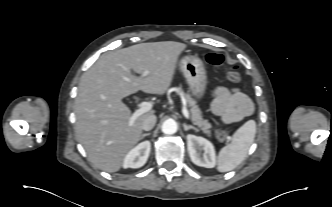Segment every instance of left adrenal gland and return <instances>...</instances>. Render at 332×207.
Segmentation results:
<instances>
[{"instance_id": "a2214340", "label": "left adrenal gland", "mask_w": 332, "mask_h": 207, "mask_svg": "<svg viewBox=\"0 0 332 207\" xmlns=\"http://www.w3.org/2000/svg\"><path fill=\"white\" fill-rule=\"evenodd\" d=\"M183 127H184V130L185 131H188L189 129H193V130H195V131H198V129L196 128V127H194V126H192V125H187V124H183Z\"/></svg>"}]
</instances>
